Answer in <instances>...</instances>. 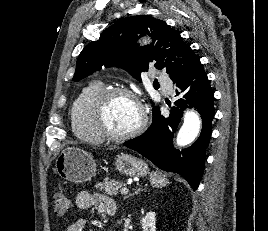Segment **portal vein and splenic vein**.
I'll return each mask as SVG.
<instances>
[{
	"mask_svg": "<svg viewBox=\"0 0 268 231\" xmlns=\"http://www.w3.org/2000/svg\"><path fill=\"white\" fill-rule=\"evenodd\" d=\"M128 193V189L126 187L121 189V194H127Z\"/></svg>",
	"mask_w": 268,
	"mask_h": 231,
	"instance_id": "portal-vein-and-splenic-vein-1",
	"label": "portal vein and splenic vein"
}]
</instances>
